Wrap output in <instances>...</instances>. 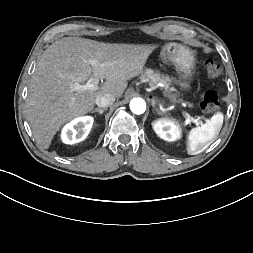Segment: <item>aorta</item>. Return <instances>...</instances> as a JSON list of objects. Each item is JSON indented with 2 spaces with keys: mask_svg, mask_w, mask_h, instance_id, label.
I'll use <instances>...</instances> for the list:
<instances>
[{
  "mask_svg": "<svg viewBox=\"0 0 253 253\" xmlns=\"http://www.w3.org/2000/svg\"><path fill=\"white\" fill-rule=\"evenodd\" d=\"M130 109L134 114H143L146 110V102L142 98H133L130 101Z\"/></svg>",
  "mask_w": 253,
  "mask_h": 253,
  "instance_id": "aorta-1",
  "label": "aorta"
}]
</instances>
